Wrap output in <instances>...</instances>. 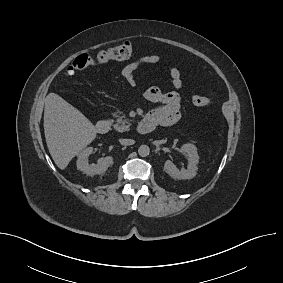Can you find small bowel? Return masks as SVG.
Segmentation results:
<instances>
[{
    "label": "small bowel",
    "instance_id": "obj_1",
    "mask_svg": "<svg viewBox=\"0 0 283 283\" xmlns=\"http://www.w3.org/2000/svg\"><path fill=\"white\" fill-rule=\"evenodd\" d=\"M161 60L157 54L145 55L126 65L121 71V77L130 85H135V73L143 65H154ZM170 79L173 87L179 90L182 87L181 72L178 68L170 69ZM144 98L158 104L149 111L146 118L155 126H169L181 118V101L176 91L163 92L159 87L152 86L144 92Z\"/></svg>",
    "mask_w": 283,
    "mask_h": 283
}]
</instances>
